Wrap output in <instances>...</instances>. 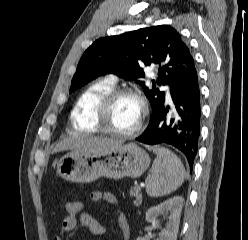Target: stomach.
<instances>
[{"label": "stomach", "mask_w": 248, "mask_h": 240, "mask_svg": "<svg viewBox=\"0 0 248 240\" xmlns=\"http://www.w3.org/2000/svg\"><path fill=\"white\" fill-rule=\"evenodd\" d=\"M150 165L148 154L135 143L103 151H72L57 162V173L67 181L91 183L100 177L121 179L141 176Z\"/></svg>", "instance_id": "0dacf381"}]
</instances>
